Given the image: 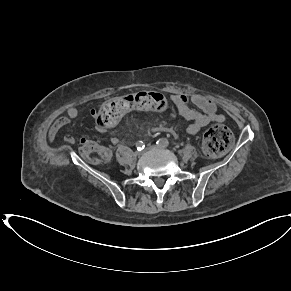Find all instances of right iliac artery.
Masks as SVG:
<instances>
[{
    "mask_svg": "<svg viewBox=\"0 0 291 291\" xmlns=\"http://www.w3.org/2000/svg\"><path fill=\"white\" fill-rule=\"evenodd\" d=\"M136 147H137L138 151H141V150H143L145 148V144L143 143V141H138L136 143Z\"/></svg>",
    "mask_w": 291,
    "mask_h": 291,
    "instance_id": "right-iliac-artery-1",
    "label": "right iliac artery"
}]
</instances>
